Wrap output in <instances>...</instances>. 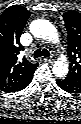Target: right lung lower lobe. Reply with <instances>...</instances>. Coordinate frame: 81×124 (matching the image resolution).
<instances>
[{"label":"right lung lower lobe","mask_w":81,"mask_h":124,"mask_svg":"<svg viewBox=\"0 0 81 124\" xmlns=\"http://www.w3.org/2000/svg\"><path fill=\"white\" fill-rule=\"evenodd\" d=\"M33 73L34 71L30 74V76L24 81L22 82L20 85L10 89V90H7L5 92H16V91H20V90H23L25 87H27L29 85V83L31 82L32 80V77H33Z\"/></svg>","instance_id":"98d812e1"}]
</instances>
